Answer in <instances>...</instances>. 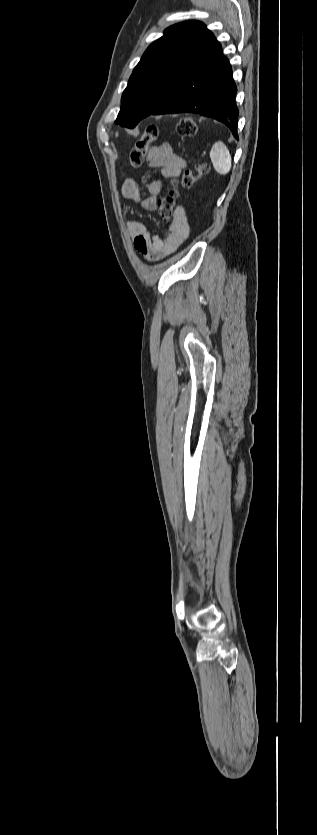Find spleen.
<instances>
[{
	"mask_svg": "<svg viewBox=\"0 0 317 835\" xmlns=\"http://www.w3.org/2000/svg\"><path fill=\"white\" fill-rule=\"evenodd\" d=\"M210 158L215 171L221 175H226L231 170L232 158L226 145L218 141L213 144L210 150Z\"/></svg>",
	"mask_w": 317,
	"mask_h": 835,
	"instance_id": "1",
	"label": "spleen"
}]
</instances>
